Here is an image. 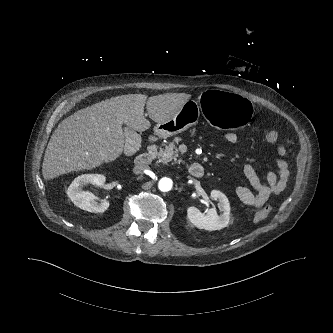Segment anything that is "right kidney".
<instances>
[{
    "label": "right kidney",
    "instance_id": "ca27d5eb",
    "mask_svg": "<svg viewBox=\"0 0 333 333\" xmlns=\"http://www.w3.org/2000/svg\"><path fill=\"white\" fill-rule=\"evenodd\" d=\"M105 179V176L102 174H84L78 176L68 187L67 195L76 206L83 210L93 213L104 212L108 209L109 202L103 200L102 203H97L95 195L91 192L83 191L82 187L89 183L101 186L104 184Z\"/></svg>",
    "mask_w": 333,
    "mask_h": 333
}]
</instances>
